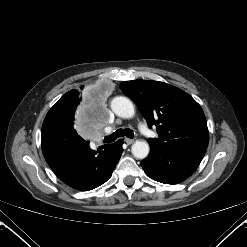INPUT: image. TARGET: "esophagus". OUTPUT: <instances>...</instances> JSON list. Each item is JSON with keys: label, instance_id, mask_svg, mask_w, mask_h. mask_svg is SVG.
<instances>
[{"label": "esophagus", "instance_id": "esophagus-1", "mask_svg": "<svg viewBox=\"0 0 247 247\" xmlns=\"http://www.w3.org/2000/svg\"><path fill=\"white\" fill-rule=\"evenodd\" d=\"M124 141L126 142L127 145H130V144H132L134 142L133 139H129V138H125Z\"/></svg>", "mask_w": 247, "mask_h": 247}]
</instances>
